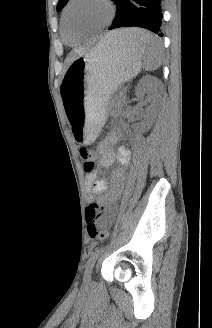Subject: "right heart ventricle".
Instances as JSON below:
<instances>
[{
    "label": "right heart ventricle",
    "mask_w": 212,
    "mask_h": 328,
    "mask_svg": "<svg viewBox=\"0 0 212 328\" xmlns=\"http://www.w3.org/2000/svg\"><path fill=\"white\" fill-rule=\"evenodd\" d=\"M62 35H63V39H64L65 43H67L69 45H74L78 41V38H79V37L72 35L70 32H68L65 29L63 19H62Z\"/></svg>",
    "instance_id": "right-heart-ventricle-1"
}]
</instances>
